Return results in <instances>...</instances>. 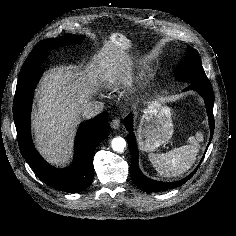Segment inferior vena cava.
Listing matches in <instances>:
<instances>
[{"instance_id": "1", "label": "inferior vena cava", "mask_w": 236, "mask_h": 236, "mask_svg": "<svg viewBox=\"0 0 236 236\" xmlns=\"http://www.w3.org/2000/svg\"><path fill=\"white\" fill-rule=\"evenodd\" d=\"M104 108V104L101 101H92L87 103L82 108V115L86 119H91L97 115H99Z\"/></svg>"}]
</instances>
